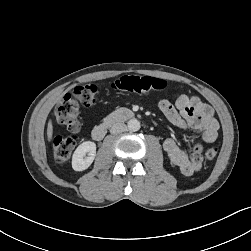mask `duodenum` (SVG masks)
Returning <instances> with one entry per match:
<instances>
[{
  "mask_svg": "<svg viewBox=\"0 0 251 251\" xmlns=\"http://www.w3.org/2000/svg\"><path fill=\"white\" fill-rule=\"evenodd\" d=\"M134 117V113L128 109H119L116 110L109 115H107L103 121L95 126L92 130V137L94 140L100 141L102 140L107 130L113 125L124 122L126 120L132 119Z\"/></svg>",
  "mask_w": 251,
  "mask_h": 251,
  "instance_id": "1",
  "label": "duodenum"
}]
</instances>
